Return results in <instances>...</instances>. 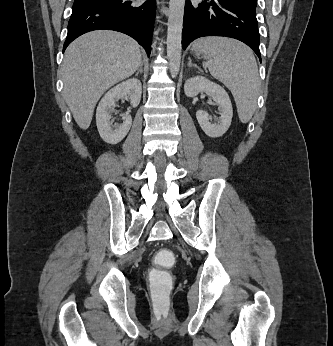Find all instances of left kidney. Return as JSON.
<instances>
[{
	"label": "left kidney",
	"instance_id": "1",
	"mask_svg": "<svg viewBox=\"0 0 333 346\" xmlns=\"http://www.w3.org/2000/svg\"><path fill=\"white\" fill-rule=\"evenodd\" d=\"M184 92L188 97H194L205 92L219 105L220 117L217 122H210L208 114L202 110L196 112L197 121L206 135L212 138L222 136L230 127L233 109L228 93L220 85L203 76H195L184 84Z\"/></svg>",
	"mask_w": 333,
	"mask_h": 346
}]
</instances>
